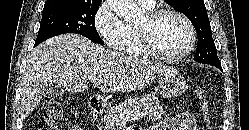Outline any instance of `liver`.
I'll return each instance as SVG.
<instances>
[{
	"label": "liver",
	"instance_id": "obj_1",
	"mask_svg": "<svg viewBox=\"0 0 249 130\" xmlns=\"http://www.w3.org/2000/svg\"><path fill=\"white\" fill-rule=\"evenodd\" d=\"M172 70L93 44L77 34L60 35L37 46L27 60L20 99L22 117L26 118L37 107L43 87L49 84L81 92L88 80L96 79L104 93H129Z\"/></svg>",
	"mask_w": 249,
	"mask_h": 130
}]
</instances>
